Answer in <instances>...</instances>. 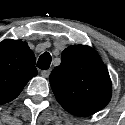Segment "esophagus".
I'll list each match as a JSON object with an SVG mask.
<instances>
[{
    "label": "esophagus",
    "mask_w": 125,
    "mask_h": 125,
    "mask_svg": "<svg viewBox=\"0 0 125 125\" xmlns=\"http://www.w3.org/2000/svg\"><path fill=\"white\" fill-rule=\"evenodd\" d=\"M42 77L47 78L50 75V70H43L41 72Z\"/></svg>",
    "instance_id": "1"
}]
</instances>
